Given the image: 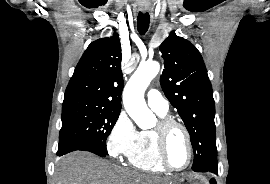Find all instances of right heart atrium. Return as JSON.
Returning <instances> with one entry per match:
<instances>
[{
    "label": "right heart atrium",
    "mask_w": 270,
    "mask_h": 184,
    "mask_svg": "<svg viewBox=\"0 0 270 184\" xmlns=\"http://www.w3.org/2000/svg\"><path fill=\"white\" fill-rule=\"evenodd\" d=\"M139 131L124 111L114 121L106 139V150L115 159L127 157L133 150Z\"/></svg>",
    "instance_id": "obj_1"
}]
</instances>
